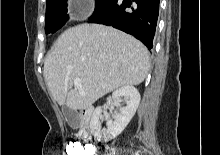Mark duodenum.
<instances>
[{
  "label": "duodenum",
  "mask_w": 220,
  "mask_h": 155,
  "mask_svg": "<svg viewBox=\"0 0 220 155\" xmlns=\"http://www.w3.org/2000/svg\"><path fill=\"white\" fill-rule=\"evenodd\" d=\"M93 114V108L91 107H84L80 109L79 116L83 122V125L80 130V138L83 141H88L91 138V131H90V119Z\"/></svg>",
  "instance_id": "1"
}]
</instances>
